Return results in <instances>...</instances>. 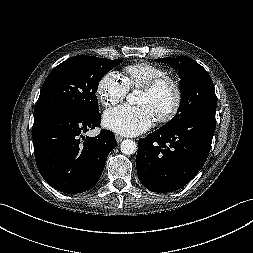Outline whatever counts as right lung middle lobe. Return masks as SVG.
Listing matches in <instances>:
<instances>
[{"label": "right lung middle lobe", "instance_id": "obj_1", "mask_svg": "<svg viewBox=\"0 0 253 253\" xmlns=\"http://www.w3.org/2000/svg\"><path fill=\"white\" fill-rule=\"evenodd\" d=\"M123 59L78 55L55 67L46 78L34 113L64 110L80 116L99 112L96 91L101 78Z\"/></svg>", "mask_w": 253, "mask_h": 253}]
</instances>
